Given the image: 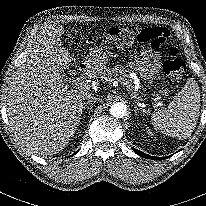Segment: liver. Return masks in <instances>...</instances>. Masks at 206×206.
<instances>
[{
	"mask_svg": "<svg viewBox=\"0 0 206 206\" xmlns=\"http://www.w3.org/2000/svg\"><path fill=\"white\" fill-rule=\"evenodd\" d=\"M63 32L61 26L45 25L9 84L7 112L12 130L36 154L52 155L66 147L79 125L84 93L94 88L86 83L75 89L65 85L59 72L74 59L63 47ZM106 63V52L92 50L84 62L85 71L99 73Z\"/></svg>",
	"mask_w": 206,
	"mask_h": 206,
	"instance_id": "obj_1",
	"label": "liver"
}]
</instances>
